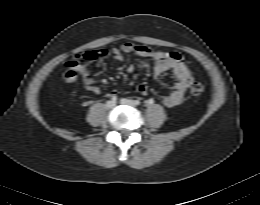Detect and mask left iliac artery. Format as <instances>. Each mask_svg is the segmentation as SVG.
<instances>
[{
  "label": "left iliac artery",
  "mask_w": 260,
  "mask_h": 205,
  "mask_svg": "<svg viewBox=\"0 0 260 205\" xmlns=\"http://www.w3.org/2000/svg\"><path fill=\"white\" fill-rule=\"evenodd\" d=\"M134 104L137 106V105H140V101L139 100H134Z\"/></svg>",
  "instance_id": "1"
}]
</instances>
